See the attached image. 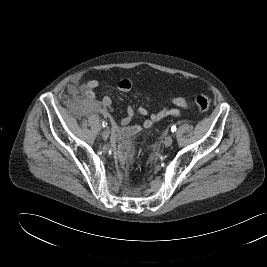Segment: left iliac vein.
I'll return each mask as SVG.
<instances>
[{
  "instance_id": "obj_1",
  "label": "left iliac vein",
  "mask_w": 267,
  "mask_h": 267,
  "mask_svg": "<svg viewBox=\"0 0 267 267\" xmlns=\"http://www.w3.org/2000/svg\"><path fill=\"white\" fill-rule=\"evenodd\" d=\"M172 143H173V137H172V135H168V136H166V137H165V140H164V145H165L166 147H169V146L172 145Z\"/></svg>"
}]
</instances>
